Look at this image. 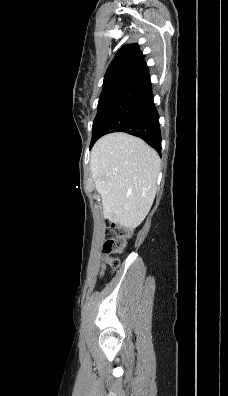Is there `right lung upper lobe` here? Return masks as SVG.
I'll return each mask as SVG.
<instances>
[{
	"instance_id": "right-lung-upper-lobe-1",
	"label": "right lung upper lobe",
	"mask_w": 228,
	"mask_h": 396,
	"mask_svg": "<svg viewBox=\"0 0 228 396\" xmlns=\"http://www.w3.org/2000/svg\"><path fill=\"white\" fill-rule=\"evenodd\" d=\"M148 72V67L144 61V56L138 44L123 46L104 76L103 86L123 85L128 86L137 81Z\"/></svg>"
}]
</instances>
